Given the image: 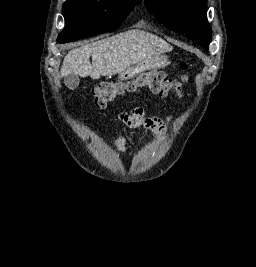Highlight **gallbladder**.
Segmentation results:
<instances>
[{"instance_id": "gallbladder-1", "label": "gallbladder", "mask_w": 256, "mask_h": 267, "mask_svg": "<svg viewBox=\"0 0 256 267\" xmlns=\"http://www.w3.org/2000/svg\"><path fill=\"white\" fill-rule=\"evenodd\" d=\"M64 84L69 90H75L80 84L79 76H76V74H69V76H66Z\"/></svg>"}]
</instances>
